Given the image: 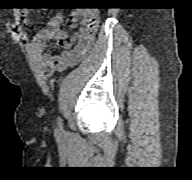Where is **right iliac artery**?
Segmentation results:
<instances>
[{"label":"right iliac artery","instance_id":"obj_1","mask_svg":"<svg viewBox=\"0 0 192 180\" xmlns=\"http://www.w3.org/2000/svg\"><path fill=\"white\" fill-rule=\"evenodd\" d=\"M58 124H59V127L61 128L62 127V123H61V119L60 118L58 119Z\"/></svg>","mask_w":192,"mask_h":180}]
</instances>
